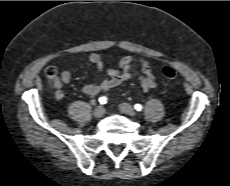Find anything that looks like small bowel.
Masks as SVG:
<instances>
[{
    "instance_id": "1",
    "label": "small bowel",
    "mask_w": 230,
    "mask_h": 186,
    "mask_svg": "<svg viewBox=\"0 0 230 186\" xmlns=\"http://www.w3.org/2000/svg\"><path fill=\"white\" fill-rule=\"evenodd\" d=\"M90 63L97 69L101 75V80L97 83H90L82 88V92L86 95L94 96L103 92H106L123 82L130 80L134 76V66L140 67V73L138 76L140 86L143 91L148 92L156 87V79L152 73L151 66L147 59L139 58L135 59L131 56L123 57L116 68H108L105 70V63L98 53H91L89 55ZM105 73L107 78H105ZM71 80V72L69 70H63L59 78L55 80V98L62 100L64 93L61 90L62 84H67Z\"/></svg>"
}]
</instances>
